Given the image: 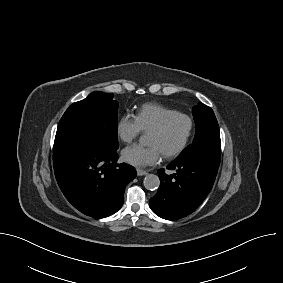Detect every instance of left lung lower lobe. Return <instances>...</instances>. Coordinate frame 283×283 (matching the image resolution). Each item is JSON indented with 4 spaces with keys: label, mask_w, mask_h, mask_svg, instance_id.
I'll return each instance as SVG.
<instances>
[{
    "label": "left lung lower lobe",
    "mask_w": 283,
    "mask_h": 283,
    "mask_svg": "<svg viewBox=\"0 0 283 283\" xmlns=\"http://www.w3.org/2000/svg\"><path fill=\"white\" fill-rule=\"evenodd\" d=\"M219 166L201 157L175 160L167 166L168 175L158 171L160 187L150 198L151 210L159 217L176 220L193 213L211 191Z\"/></svg>",
    "instance_id": "obj_1"
}]
</instances>
